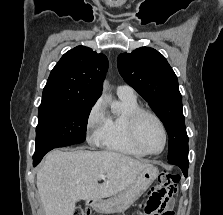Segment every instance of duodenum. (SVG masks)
Segmentation results:
<instances>
[{"label":"duodenum","mask_w":223,"mask_h":215,"mask_svg":"<svg viewBox=\"0 0 223 215\" xmlns=\"http://www.w3.org/2000/svg\"><path fill=\"white\" fill-rule=\"evenodd\" d=\"M89 204L95 212L100 213L103 210L104 200L98 197L93 198Z\"/></svg>","instance_id":"1"}]
</instances>
